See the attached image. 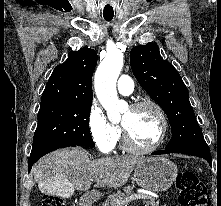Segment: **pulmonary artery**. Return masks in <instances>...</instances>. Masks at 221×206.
<instances>
[{
    "label": "pulmonary artery",
    "mask_w": 221,
    "mask_h": 206,
    "mask_svg": "<svg viewBox=\"0 0 221 206\" xmlns=\"http://www.w3.org/2000/svg\"><path fill=\"white\" fill-rule=\"evenodd\" d=\"M133 80L128 75H121L118 80L117 89L122 95H129L133 91Z\"/></svg>",
    "instance_id": "pulmonary-artery-1"
}]
</instances>
